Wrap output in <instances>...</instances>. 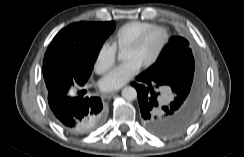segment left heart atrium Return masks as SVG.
Returning a JSON list of instances; mask_svg holds the SVG:
<instances>
[{"label":"left heart atrium","instance_id":"obj_1","mask_svg":"<svg viewBox=\"0 0 244 157\" xmlns=\"http://www.w3.org/2000/svg\"><path fill=\"white\" fill-rule=\"evenodd\" d=\"M140 68L141 65L134 60L125 61L101 81V88L105 91L121 88L139 72Z\"/></svg>","mask_w":244,"mask_h":157}]
</instances>
